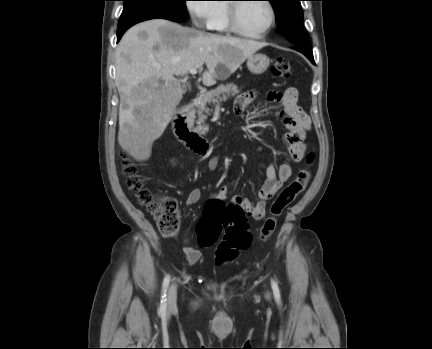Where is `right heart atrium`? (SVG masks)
<instances>
[{
  "instance_id": "1",
  "label": "right heart atrium",
  "mask_w": 432,
  "mask_h": 349,
  "mask_svg": "<svg viewBox=\"0 0 432 349\" xmlns=\"http://www.w3.org/2000/svg\"><path fill=\"white\" fill-rule=\"evenodd\" d=\"M186 8L192 23L196 27H209L210 20L215 11V5L212 0H187Z\"/></svg>"
}]
</instances>
